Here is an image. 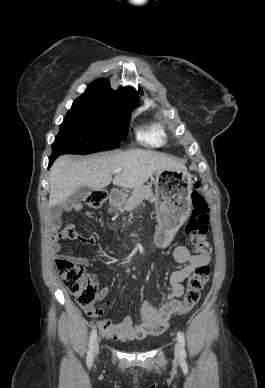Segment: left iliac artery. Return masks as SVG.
Listing matches in <instances>:
<instances>
[{
	"instance_id": "1",
	"label": "left iliac artery",
	"mask_w": 265,
	"mask_h": 388,
	"mask_svg": "<svg viewBox=\"0 0 265 388\" xmlns=\"http://www.w3.org/2000/svg\"><path fill=\"white\" fill-rule=\"evenodd\" d=\"M177 338H178L179 345H180V354L182 357H184V356H186L184 334L181 331H178Z\"/></svg>"
}]
</instances>
